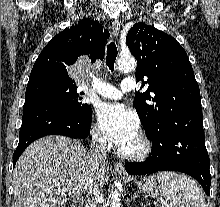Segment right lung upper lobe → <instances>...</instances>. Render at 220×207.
<instances>
[{
    "label": "right lung upper lobe",
    "mask_w": 220,
    "mask_h": 207,
    "mask_svg": "<svg viewBox=\"0 0 220 207\" xmlns=\"http://www.w3.org/2000/svg\"><path fill=\"white\" fill-rule=\"evenodd\" d=\"M109 32L100 23L82 19L57 34L41 51L32 68L28 85L48 80L75 85L68 70L80 56L95 62L103 59Z\"/></svg>",
    "instance_id": "right-lung-upper-lobe-1"
}]
</instances>
